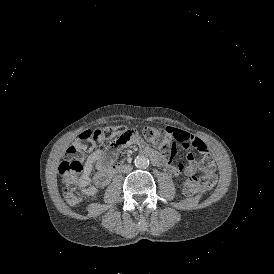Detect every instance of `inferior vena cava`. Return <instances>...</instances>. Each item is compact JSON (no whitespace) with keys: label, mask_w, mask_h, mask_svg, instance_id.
<instances>
[{"label":"inferior vena cava","mask_w":274,"mask_h":274,"mask_svg":"<svg viewBox=\"0 0 274 274\" xmlns=\"http://www.w3.org/2000/svg\"><path fill=\"white\" fill-rule=\"evenodd\" d=\"M132 170V166L131 165H124L123 166V171L124 172H129V171H131Z\"/></svg>","instance_id":"1"}]
</instances>
